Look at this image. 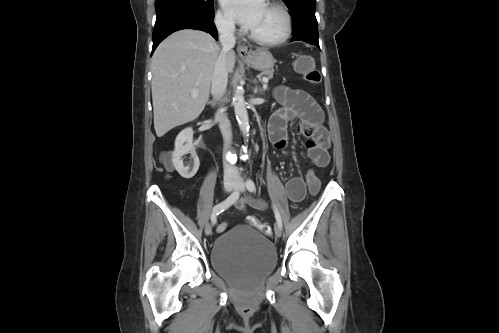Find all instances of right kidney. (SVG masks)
Instances as JSON below:
<instances>
[{"label":"right kidney","instance_id":"1","mask_svg":"<svg viewBox=\"0 0 499 333\" xmlns=\"http://www.w3.org/2000/svg\"><path fill=\"white\" fill-rule=\"evenodd\" d=\"M188 153L191 154L193 162L187 166H184L182 157ZM172 163L177 172L183 178L190 179L197 173L200 161L193 145V129L191 127L182 130L177 135L175 140V149L172 154Z\"/></svg>","mask_w":499,"mask_h":333}]
</instances>
